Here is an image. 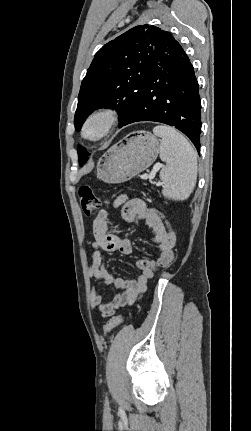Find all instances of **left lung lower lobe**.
Listing matches in <instances>:
<instances>
[{"instance_id":"left-lung-lower-lobe-1","label":"left lung lower lobe","mask_w":251,"mask_h":431,"mask_svg":"<svg viewBox=\"0 0 251 431\" xmlns=\"http://www.w3.org/2000/svg\"><path fill=\"white\" fill-rule=\"evenodd\" d=\"M138 121L173 126L200 151L199 85L188 56L172 35L158 49L134 107L119 128Z\"/></svg>"}]
</instances>
